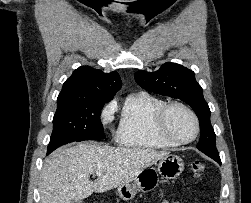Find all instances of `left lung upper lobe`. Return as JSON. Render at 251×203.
Returning a JSON list of instances; mask_svg holds the SVG:
<instances>
[{"instance_id":"5c2ea615","label":"left lung upper lobe","mask_w":251,"mask_h":203,"mask_svg":"<svg viewBox=\"0 0 251 203\" xmlns=\"http://www.w3.org/2000/svg\"><path fill=\"white\" fill-rule=\"evenodd\" d=\"M134 77L142 88L160 95L179 98L190 105L200 122L201 135L197 148L213 159H220L215 145V133L210 122L211 112L192 70L168 62L158 71L141 70L136 72Z\"/></svg>"}]
</instances>
